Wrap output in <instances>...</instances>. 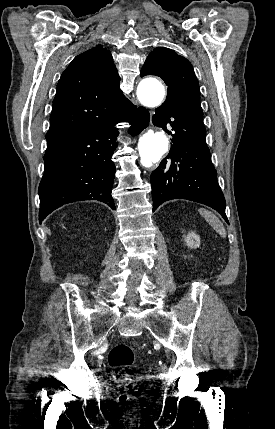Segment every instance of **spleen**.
I'll return each mask as SVG.
<instances>
[{
	"label": "spleen",
	"mask_w": 275,
	"mask_h": 429,
	"mask_svg": "<svg viewBox=\"0 0 275 429\" xmlns=\"http://www.w3.org/2000/svg\"><path fill=\"white\" fill-rule=\"evenodd\" d=\"M199 212L220 236H226V230L223 224L212 212L203 208L199 209Z\"/></svg>",
	"instance_id": "3e777b00"
}]
</instances>
